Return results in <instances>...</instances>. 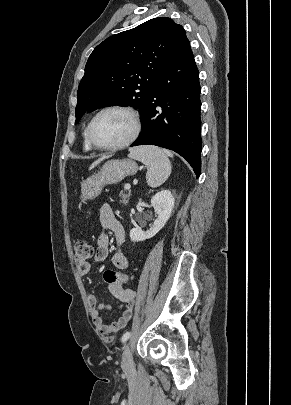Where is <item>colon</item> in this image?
<instances>
[{
	"mask_svg": "<svg viewBox=\"0 0 291 405\" xmlns=\"http://www.w3.org/2000/svg\"><path fill=\"white\" fill-rule=\"evenodd\" d=\"M75 260L78 265H82L89 260L93 255L92 246L85 240H77L74 244ZM104 278L107 283L114 285H123L127 283L130 277L116 271H106Z\"/></svg>",
	"mask_w": 291,
	"mask_h": 405,
	"instance_id": "colon-1",
	"label": "colon"
}]
</instances>
